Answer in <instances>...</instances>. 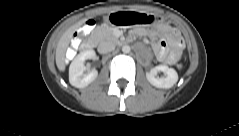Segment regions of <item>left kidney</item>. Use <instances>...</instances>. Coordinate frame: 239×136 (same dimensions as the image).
Segmentation results:
<instances>
[{
  "instance_id": "1",
  "label": "left kidney",
  "mask_w": 239,
  "mask_h": 136,
  "mask_svg": "<svg viewBox=\"0 0 239 136\" xmlns=\"http://www.w3.org/2000/svg\"><path fill=\"white\" fill-rule=\"evenodd\" d=\"M164 72L165 77L159 78L158 72ZM147 80L157 88L169 89L178 81V74L175 69L166 65H158L146 73Z\"/></svg>"
}]
</instances>
